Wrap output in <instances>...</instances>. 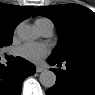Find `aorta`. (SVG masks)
Returning <instances> with one entry per match:
<instances>
[{"mask_svg": "<svg viewBox=\"0 0 95 95\" xmlns=\"http://www.w3.org/2000/svg\"><path fill=\"white\" fill-rule=\"evenodd\" d=\"M18 35L25 41H31L37 38L35 29L30 25L19 27ZM39 81L45 88H51L56 83V75L50 70H44L40 73Z\"/></svg>", "mask_w": 95, "mask_h": 95, "instance_id": "obj_1", "label": "aorta"}]
</instances>
